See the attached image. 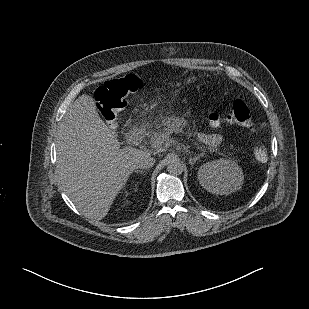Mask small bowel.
I'll list each match as a JSON object with an SVG mask.
<instances>
[{"label":"small bowel","instance_id":"obj_1","mask_svg":"<svg viewBox=\"0 0 309 309\" xmlns=\"http://www.w3.org/2000/svg\"><path fill=\"white\" fill-rule=\"evenodd\" d=\"M197 138L201 142L211 146L218 145L222 141L221 135L217 133H211V134L200 133L197 135Z\"/></svg>","mask_w":309,"mask_h":309}]
</instances>
